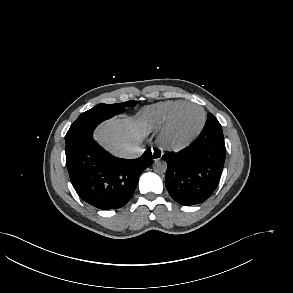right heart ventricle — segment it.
<instances>
[{"instance_id": "obj_1", "label": "right heart ventricle", "mask_w": 293, "mask_h": 293, "mask_svg": "<svg viewBox=\"0 0 293 293\" xmlns=\"http://www.w3.org/2000/svg\"><path fill=\"white\" fill-rule=\"evenodd\" d=\"M185 101H164L157 103L145 111V116L150 127L159 130L167 123L172 112Z\"/></svg>"}]
</instances>
